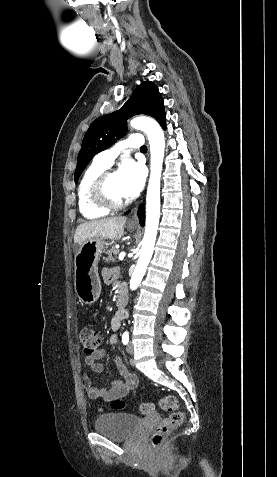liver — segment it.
Returning a JSON list of instances; mask_svg holds the SVG:
<instances>
[{
  "label": "liver",
  "instance_id": "1",
  "mask_svg": "<svg viewBox=\"0 0 277 477\" xmlns=\"http://www.w3.org/2000/svg\"><path fill=\"white\" fill-rule=\"evenodd\" d=\"M127 218L123 216L104 218L84 222L77 226L74 243L81 245L88 239L101 238L118 240L124 234V226Z\"/></svg>",
  "mask_w": 277,
  "mask_h": 477
}]
</instances>
